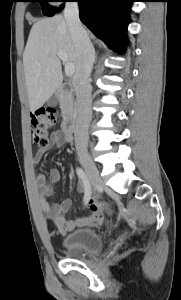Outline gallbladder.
Instances as JSON below:
<instances>
[{
  "label": "gallbladder",
  "mask_w": 181,
  "mask_h": 300,
  "mask_svg": "<svg viewBox=\"0 0 181 300\" xmlns=\"http://www.w3.org/2000/svg\"><path fill=\"white\" fill-rule=\"evenodd\" d=\"M57 102H58V98H57V96H53V97H51V99L48 101V105L49 106H56L57 105Z\"/></svg>",
  "instance_id": "1"
}]
</instances>
